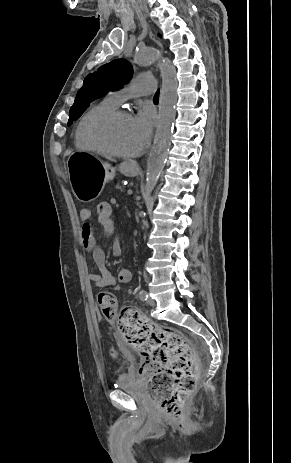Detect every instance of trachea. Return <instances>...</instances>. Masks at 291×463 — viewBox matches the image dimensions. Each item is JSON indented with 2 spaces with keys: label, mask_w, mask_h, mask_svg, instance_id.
<instances>
[{
  "label": "trachea",
  "mask_w": 291,
  "mask_h": 463,
  "mask_svg": "<svg viewBox=\"0 0 291 463\" xmlns=\"http://www.w3.org/2000/svg\"><path fill=\"white\" fill-rule=\"evenodd\" d=\"M153 99H154V100H159V91L155 94V96H154Z\"/></svg>",
  "instance_id": "3493384b"
}]
</instances>
